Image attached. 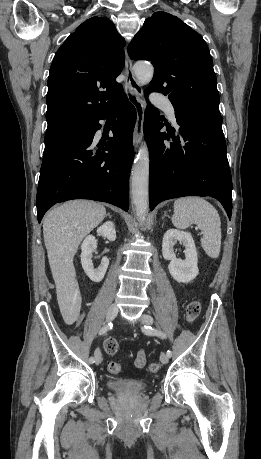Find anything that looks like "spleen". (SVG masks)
Segmentation results:
<instances>
[{
    "label": "spleen",
    "instance_id": "spleen-1",
    "mask_svg": "<svg viewBox=\"0 0 261 459\" xmlns=\"http://www.w3.org/2000/svg\"><path fill=\"white\" fill-rule=\"evenodd\" d=\"M173 225L185 230L196 224L203 232L201 246L213 259L218 258L221 247V221L218 211L204 198L190 196L174 202Z\"/></svg>",
    "mask_w": 261,
    "mask_h": 459
}]
</instances>
